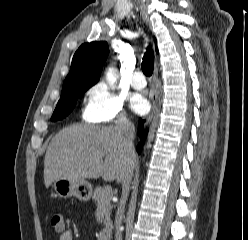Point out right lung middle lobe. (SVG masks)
Returning a JSON list of instances; mask_svg holds the SVG:
<instances>
[{
  "label": "right lung middle lobe",
  "instance_id": "obj_1",
  "mask_svg": "<svg viewBox=\"0 0 248 240\" xmlns=\"http://www.w3.org/2000/svg\"><path fill=\"white\" fill-rule=\"evenodd\" d=\"M88 89V87L68 86L62 89L60 100L51 117L52 121L65 118L74 108L77 99Z\"/></svg>",
  "mask_w": 248,
  "mask_h": 240
}]
</instances>
